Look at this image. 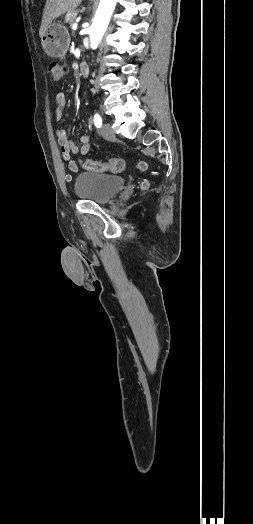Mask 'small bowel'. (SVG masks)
Listing matches in <instances>:
<instances>
[{
    "instance_id": "1",
    "label": "small bowel",
    "mask_w": 253,
    "mask_h": 524,
    "mask_svg": "<svg viewBox=\"0 0 253 524\" xmlns=\"http://www.w3.org/2000/svg\"><path fill=\"white\" fill-rule=\"evenodd\" d=\"M57 109L55 112L56 119L60 120L63 115V110L66 107L67 99L63 92H58L56 94ZM58 143L60 146L61 154L63 159L66 161L69 169L71 171H78L80 169L79 164L71 159L72 154L81 153L82 155H87L92 151V147L89 144V137L86 134L80 135L81 146L78 147L73 141L69 140L67 136V129L65 127H60L56 131Z\"/></svg>"
}]
</instances>
